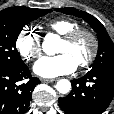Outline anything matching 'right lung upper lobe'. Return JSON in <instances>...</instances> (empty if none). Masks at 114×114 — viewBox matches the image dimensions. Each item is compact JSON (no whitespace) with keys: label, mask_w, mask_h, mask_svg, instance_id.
Returning a JSON list of instances; mask_svg holds the SVG:
<instances>
[{"label":"right lung upper lobe","mask_w":114,"mask_h":114,"mask_svg":"<svg viewBox=\"0 0 114 114\" xmlns=\"http://www.w3.org/2000/svg\"><path fill=\"white\" fill-rule=\"evenodd\" d=\"M29 9H31V8L17 6V7L6 8V9H4L2 11H4V12H12V13H19V12L27 11Z\"/></svg>","instance_id":"1"}]
</instances>
